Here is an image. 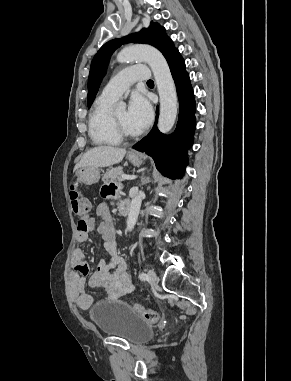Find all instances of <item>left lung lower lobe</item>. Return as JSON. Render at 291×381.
<instances>
[{
	"label": "left lung lower lobe",
	"mask_w": 291,
	"mask_h": 381,
	"mask_svg": "<svg viewBox=\"0 0 291 381\" xmlns=\"http://www.w3.org/2000/svg\"><path fill=\"white\" fill-rule=\"evenodd\" d=\"M167 62L175 81L180 105L177 127L171 136H166L159 132L155 122L152 131L133 148L151 156L163 175L173 177L182 176L185 171L187 150L193 144L196 127V107L189 75L179 51L177 50Z\"/></svg>",
	"instance_id": "obj_1"
}]
</instances>
